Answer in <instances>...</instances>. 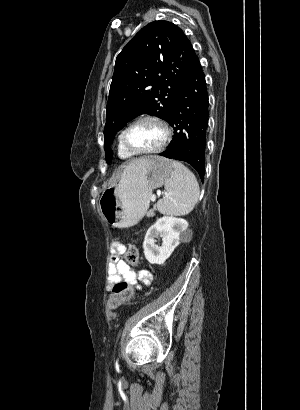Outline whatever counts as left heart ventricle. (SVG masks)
I'll list each match as a JSON object with an SVG mask.
<instances>
[{"mask_svg":"<svg viewBox=\"0 0 300 410\" xmlns=\"http://www.w3.org/2000/svg\"><path fill=\"white\" fill-rule=\"evenodd\" d=\"M163 130L153 121H141L133 125L126 134L127 144L137 150L157 147L163 140Z\"/></svg>","mask_w":300,"mask_h":410,"instance_id":"obj_1","label":"left heart ventricle"}]
</instances>
